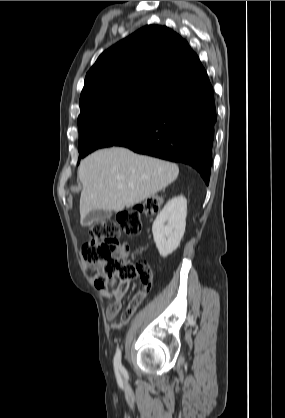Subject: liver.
Returning a JSON list of instances; mask_svg holds the SVG:
<instances>
[{
	"mask_svg": "<svg viewBox=\"0 0 285 418\" xmlns=\"http://www.w3.org/2000/svg\"><path fill=\"white\" fill-rule=\"evenodd\" d=\"M176 164L122 147L98 150L78 168L81 219L92 210L119 212L154 195L178 176Z\"/></svg>",
	"mask_w": 285,
	"mask_h": 418,
	"instance_id": "liver-1",
	"label": "liver"
}]
</instances>
